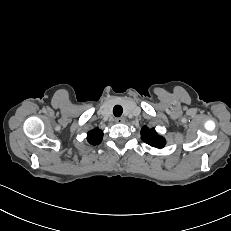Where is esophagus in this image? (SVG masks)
<instances>
[{
    "label": "esophagus",
    "mask_w": 231,
    "mask_h": 231,
    "mask_svg": "<svg viewBox=\"0 0 231 231\" xmlns=\"http://www.w3.org/2000/svg\"><path fill=\"white\" fill-rule=\"evenodd\" d=\"M124 121H125L124 118H116V119H115V122H116V123H123Z\"/></svg>",
    "instance_id": "34e87169"
}]
</instances>
